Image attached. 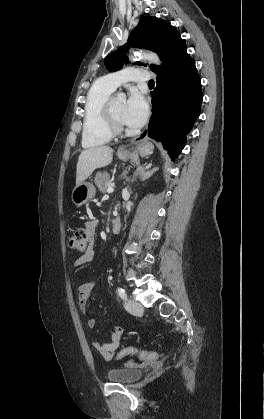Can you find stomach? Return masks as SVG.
<instances>
[{
  "mask_svg": "<svg viewBox=\"0 0 264 419\" xmlns=\"http://www.w3.org/2000/svg\"><path fill=\"white\" fill-rule=\"evenodd\" d=\"M153 149L154 146L152 143L143 141L137 146L135 152L144 157L150 155L153 152ZM118 157L121 160H126L129 157V154L118 153ZM95 193V187L91 182H82L81 184L76 185L73 189L71 200L75 206L80 207L93 199Z\"/></svg>",
  "mask_w": 264,
  "mask_h": 419,
  "instance_id": "stomach-1",
  "label": "stomach"
}]
</instances>
